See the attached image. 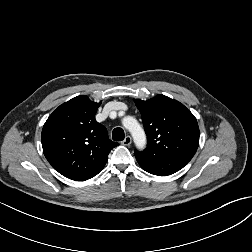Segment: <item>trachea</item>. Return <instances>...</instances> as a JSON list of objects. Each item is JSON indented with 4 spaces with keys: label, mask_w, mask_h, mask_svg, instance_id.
Wrapping results in <instances>:
<instances>
[{
    "label": "trachea",
    "mask_w": 252,
    "mask_h": 252,
    "mask_svg": "<svg viewBox=\"0 0 252 252\" xmlns=\"http://www.w3.org/2000/svg\"><path fill=\"white\" fill-rule=\"evenodd\" d=\"M125 137L124 130L120 127H117L112 132V139L114 141H122Z\"/></svg>",
    "instance_id": "3493384b"
}]
</instances>
